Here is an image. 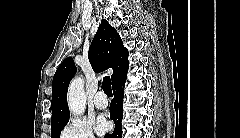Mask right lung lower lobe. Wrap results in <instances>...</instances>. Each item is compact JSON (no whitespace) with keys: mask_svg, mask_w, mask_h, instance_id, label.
Returning <instances> with one entry per match:
<instances>
[{"mask_svg":"<svg viewBox=\"0 0 240 138\" xmlns=\"http://www.w3.org/2000/svg\"><path fill=\"white\" fill-rule=\"evenodd\" d=\"M125 80L116 83L113 85V94H114V99L111 103V109H110V118L114 121L115 123V129L112 134H106L105 138H121L122 136V118H123V93H124V84Z\"/></svg>","mask_w":240,"mask_h":138,"instance_id":"1","label":"right lung lower lobe"}]
</instances>
